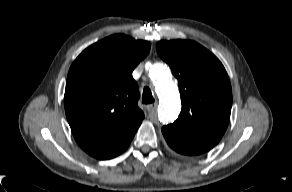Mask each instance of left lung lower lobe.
Listing matches in <instances>:
<instances>
[{
    "label": "left lung lower lobe",
    "instance_id": "obj_1",
    "mask_svg": "<svg viewBox=\"0 0 292 192\" xmlns=\"http://www.w3.org/2000/svg\"><path fill=\"white\" fill-rule=\"evenodd\" d=\"M167 144L176 152L184 155H199L209 151L215 145L202 141H195L162 128Z\"/></svg>",
    "mask_w": 292,
    "mask_h": 192
}]
</instances>
